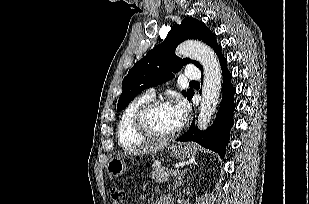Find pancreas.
<instances>
[{"label":"pancreas","instance_id":"obj_1","mask_svg":"<svg viewBox=\"0 0 309 204\" xmlns=\"http://www.w3.org/2000/svg\"><path fill=\"white\" fill-rule=\"evenodd\" d=\"M173 170L158 167L156 165L153 166V171L151 173V178L154 179L156 182L163 183L168 180V177L172 174Z\"/></svg>","mask_w":309,"mask_h":204}]
</instances>
